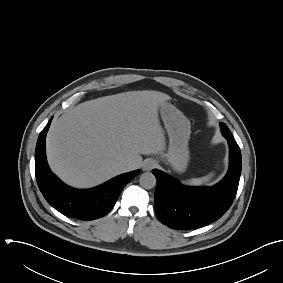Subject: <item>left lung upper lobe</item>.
<instances>
[{"instance_id": "obj_1", "label": "left lung upper lobe", "mask_w": 283, "mask_h": 283, "mask_svg": "<svg viewBox=\"0 0 283 283\" xmlns=\"http://www.w3.org/2000/svg\"><path fill=\"white\" fill-rule=\"evenodd\" d=\"M220 126H221L223 135H232L226 124L220 123Z\"/></svg>"}]
</instances>
